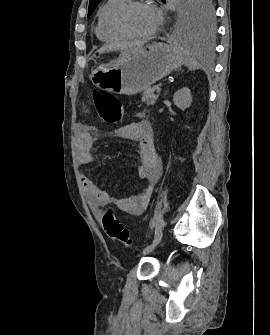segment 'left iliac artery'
Wrapping results in <instances>:
<instances>
[{"mask_svg":"<svg viewBox=\"0 0 270 335\" xmlns=\"http://www.w3.org/2000/svg\"><path fill=\"white\" fill-rule=\"evenodd\" d=\"M162 223H158L155 229L153 243L158 244L162 239Z\"/></svg>","mask_w":270,"mask_h":335,"instance_id":"44dca946","label":"left iliac artery"}]
</instances>
